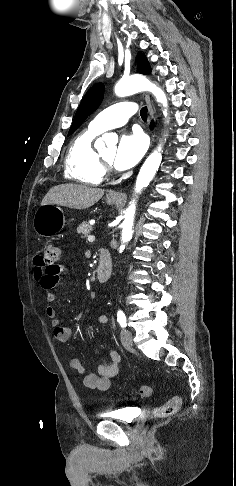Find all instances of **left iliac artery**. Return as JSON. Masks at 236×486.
Wrapping results in <instances>:
<instances>
[{
  "instance_id": "left-iliac-artery-1",
  "label": "left iliac artery",
  "mask_w": 236,
  "mask_h": 486,
  "mask_svg": "<svg viewBox=\"0 0 236 486\" xmlns=\"http://www.w3.org/2000/svg\"><path fill=\"white\" fill-rule=\"evenodd\" d=\"M117 321L122 328L127 326L125 314L121 310L117 312Z\"/></svg>"
}]
</instances>
